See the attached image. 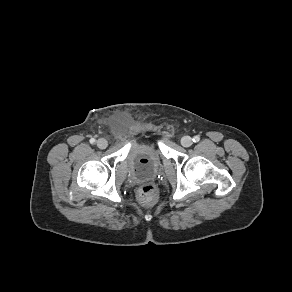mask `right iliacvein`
Here are the masks:
<instances>
[{"mask_svg": "<svg viewBox=\"0 0 292 292\" xmlns=\"http://www.w3.org/2000/svg\"><path fill=\"white\" fill-rule=\"evenodd\" d=\"M96 144H97L98 148H100V149H105L108 146L107 140L103 139V138L98 139Z\"/></svg>", "mask_w": 292, "mask_h": 292, "instance_id": "right-iliac-vein-1", "label": "right iliac vein"}]
</instances>
